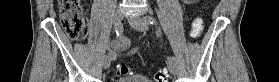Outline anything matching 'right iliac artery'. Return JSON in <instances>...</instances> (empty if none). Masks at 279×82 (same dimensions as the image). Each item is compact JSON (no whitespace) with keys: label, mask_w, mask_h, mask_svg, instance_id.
I'll use <instances>...</instances> for the list:
<instances>
[{"label":"right iliac artery","mask_w":279,"mask_h":82,"mask_svg":"<svg viewBox=\"0 0 279 82\" xmlns=\"http://www.w3.org/2000/svg\"><path fill=\"white\" fill-rule=\"evenodd\" d=\"M114 28H115V32H114V38L115 39H118L121 34H122V25H121V22L119 23H114Z\"/></svg>","instance_id":"82829eb1"}]
</instances>
